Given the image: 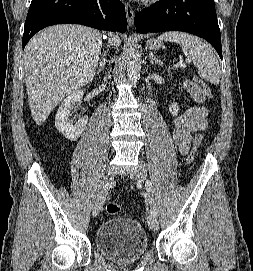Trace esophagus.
Returning <instances> with one entry per match:
<instances>
[{"label":"esophagus","instance_id":"34e87169","mask_svg":"<svg viewBox=\"0 0 253 271\" xmlns=\"http://www.w3.org/2000/svg\"><path fill=\"white\" fill-rule=\"evenodd\" d=\"M127 22L130 27L134 25V10L129 3H125Z\"/></svg>","mask_w":253,"mask_h":271}]
</instances>
